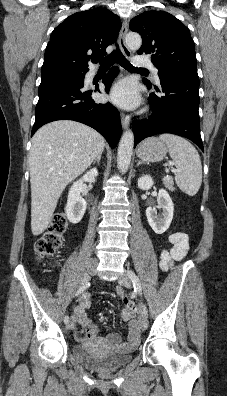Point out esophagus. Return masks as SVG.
<instances>
[{
	"label": "esophagus",
	"mask_w": 227,
	"mask_h": 396,
	"mask_svg": "<svg viewBox=\"0 0 227 396\" xmlns=\"http://www.w3.org/2000/svg\"><path fill=\"white\" fill-rule=\"evenodd\" d=\"M127 31H128V22L126 19H124V21L122 22V28H121L120 35H119V44H120V47H121L124 55L127 58H131L132 53H131L130 49L127 47L126 42H125V37H126ZM121 123H122V127L124 129L128 128V126L130 124V116L122 113L121 114Z\"/></svg>",
	"instance_id": "34e87169"
}]
</instances>
